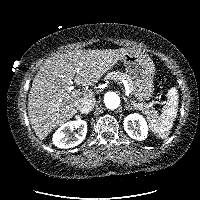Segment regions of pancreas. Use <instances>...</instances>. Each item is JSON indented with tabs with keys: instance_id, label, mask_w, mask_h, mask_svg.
<instances>
[{
	"instance_id": "cf45deb5",
	"label": "pancreas",
	"mask_w": 200,
	"mask_h": 200,
	"mask_svg": "<svg viewBox=\"0 0 200 200\" xmlns=\"http://www.w3.org/2000/svg\"><path fill=\"white\" fill-rule=\"evenodd\" d=\"M106 79H110V80H114V81H122L125 80L129 87H130V93L133 94L132 91V80L130 78V76H128L126 73L124 72H119V71H113L110 72L106 75ZM135 107L144 110V112L151 118L157 117L156 111L154 109L150 110L148 109V105L142 104V103H138L136 104L135 102H133Z\"/></svg>"
}]
</instances>
